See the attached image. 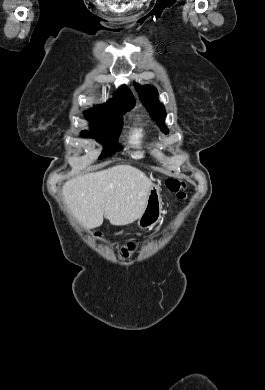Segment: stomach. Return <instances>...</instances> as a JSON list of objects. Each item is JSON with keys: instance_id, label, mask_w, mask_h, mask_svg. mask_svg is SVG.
<instances>
[{"instance_id": "stomach-1", "label": "stomach", "mask_w": 265, "mask_h": 390, "mask_svg": "<svg viewBox=\"0 0 265 390\" xmlns=\"http://www.w3.org/2000/svg\"><path fill=\"white\" fill-rule=\"evenodd\" d=\"M160 191L161 189L159 186L152 185L144 211L138 218V226L141 229L152 228L160 221L162 213V198Z\"/></svg>"}]
</instances>
